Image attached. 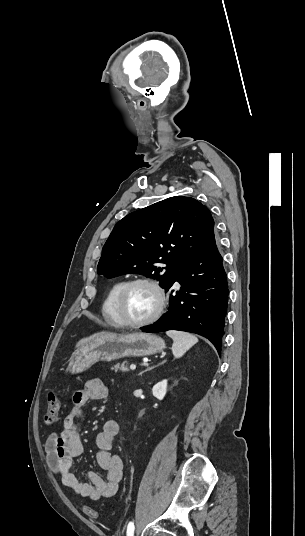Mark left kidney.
Here are the masks:
<instances>
[{"label": "left kidney", "mask_w": 305, "mask_h": 536, "mask_svg": "<svg viewBox=\"0 0 305 536\" xmlns=\"http://www.w3.org/2000/svg\"><path fill=\"white\" fill-rule=\"evenodd\" d=\"M153 396L157 398V400H163L164 396H166L167 392V380H162V382H158V384H155L152 388Z\"/></svg>", "instance_id": "left-kidney-1"}]
</instances>
